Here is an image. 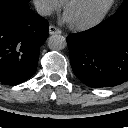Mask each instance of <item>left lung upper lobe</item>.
Returning <instances> with one entry per match:
<instances>
[{
	"label": "left lung upper lobe",
	"instance_id": "obj_1",
	"mask_svg": "<svg viewBox=\"0 0 128 128\" xmlns=\"http://www.w3.org/2000/svg\"><path fill=\"white\" fill-rule=\"evenodd\" d=\"M124 9H128V0H124L116 12L122 11Z\"/></svg>",
	"mask_w": 128,
	"mask_h": 128
}]
</instances>
